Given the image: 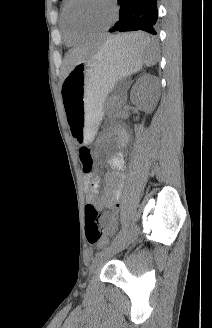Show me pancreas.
<instances>
[{
	"label": "pancreas",
	"instance_id": "obj_1",
	"mask_svg": "<svg viewBox=\"0 0 212 328\" xmlns=\"http://www.w3.org/2000/svg\"><path fill=\"white\" fill-rule=\"evenodd\" d=\"M122 105L123 100L121 96H112L106 102V106L111 111V113H118Z\"/></svg>",
	"mask_w": 212,
	"mask_h": 328
}]
</instances>
